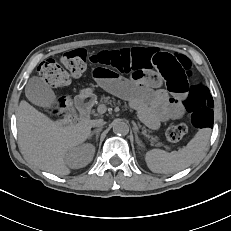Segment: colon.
Instances as JSON below:
<instances>
[{
  "mask_svg": "<svg viewBox=\"0 0 231 231\" xmlns=\"http://www.w3.org/2000/svg\"><path fill=\"white\" fill-rule=\"evenodd\" d=\"M89 63L112 67L134 78L149 79V73H155L165 81L169 91L180 95L190 119L167 129L166 137L169 142L182 140L190 127L203 129L213 123V101L209 90L202 83H189L192 76L191 62L182 54L156 48H130L98 53L75 49L66 52L60 62L53 59L44 61L39 66V73L48 85L61 87L67 85L72 78L80 76ZM52 111L59 114L63 121L70 120L71 115L64 102L55 105Z\"/></svg>",
  "mask_w": 231,
  "mask_h": 231,
  "instance_id": "5ec220e1",
  "label": "colon"
}]
</instances>
